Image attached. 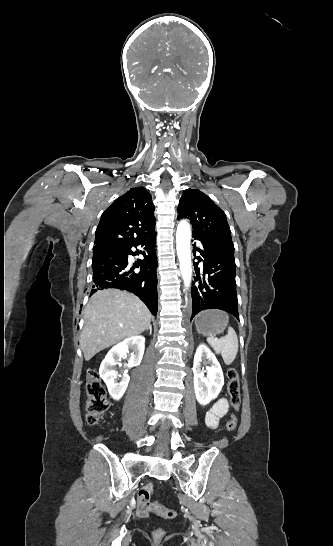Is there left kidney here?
Returning <instances> with one entry per match:
<instances>
[{"label":"left kidney","instance_id":"1","mask_svg":"<svg viewBox=\"0 0 333 546\" xmlns=\"http://www.w3.org/2000/svg\"><path fill=\"white\" fill-rule=\"evenodd\" d=\"M204 360L210 365L206 370L201 369ZM193 373L196 399L200 404L206 405L220 393L224 385V376L218 360L205 344L199 345L196 350Z\"/></svg>","mask_w":333,"mask_h":546}]
</instances>
